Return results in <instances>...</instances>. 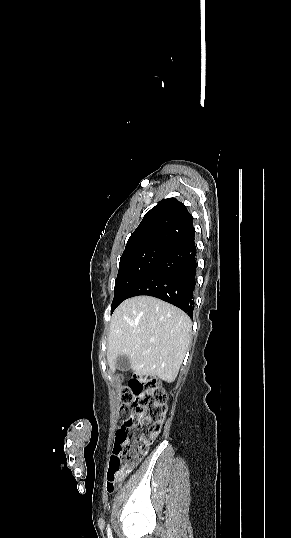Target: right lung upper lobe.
<instances>
[{
  "label": "right lung upper lobe",
  "mask_w": 291,
  "mask_h": 538,
  "mask_svg": "<svg viewBox=\"0 0 291 538\" xmlns=\"http://www.w3.org/2000/svg\"><path fill=\"white\" fill-rule=\"evenodd\" d=\"M194 235L193 218L186 206L175 198H166L145 214L123 253L147 246L172 249Z\"/></svg>",
  "instance_id": "right-lung-upper-lobe-1"
}]
</instances>
